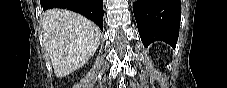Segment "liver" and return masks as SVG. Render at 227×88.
Listing matches in <instances>:
<instances>
[{"label":"liver","mask_w":227,"mask_h":88,"mask_svg":"<svg viewBox=\"0 0 227 88\" xmlns=\"http://www.w3.org/2000/svg\"><path fill=\"white\" fill-rule=\"evenodd\" d=\"M43 44L56 77L84 66L100 44L97 25L80 14L50 9L42 16Z\"/></svg>","instance_id":"obj_1"}]
</instances>
